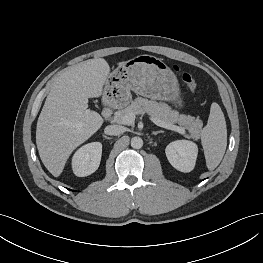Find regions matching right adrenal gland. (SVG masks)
<instances>
[{
  "label": "right adrenal gland",
  "mask_w": 263,
  "mask_h": 263,
  "mask_svg": "<svg viewBox=\"0 0 263 263\" xmlns=\"http://www.w3.org/2000/svg\"><path fill=\"white\" fill-rule=\"evenodd\" d=\"M103 137L106 138V139H109V137H107L106 135L103 134Z\"/></svg>",
  "instance_id": "right-adrenal-gland-1"
}]
</instances>
